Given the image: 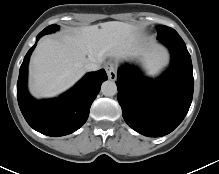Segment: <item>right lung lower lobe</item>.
I'll return each mask as SVG.
<instances>
[{"label":"right lung lower lobe","instance_id":"right-lung-lower-lobe-1","mask_svg":"<svg viewBox=\"0 0 219 174\" xmlns=\"http://www.w3.org/2000/svg\"><path fill=\"white\" fill-rule=\"evenodd\" d=\"M42 35L38 34L37 40ZM30 48L20 67L17 83V99L27 123L36 131L52 136H64L78 130L87 120L92 102L100 91L101 83L107 79L104 69L88 73L72 89L58 98L35 100L27 90V68Z\"/></svg>","mask_w":219,"mask_h":174}]
</instances>
